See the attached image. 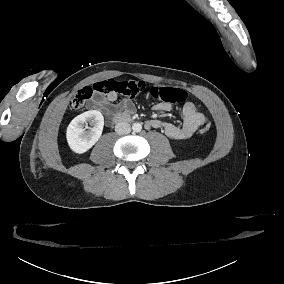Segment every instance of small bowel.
I'll use <instances>...</instances> for the list:
<instances>
[{
    "label": "small bowel",
    "instance_id": "obj_1",
    "mask_svg": "<svg viewBox=\"0 0 284 284\" xmlns=\"http://www.w3.org/2000/svg\"><path fill=\"white\" fill-rule=\"evenodd\" d=\"M117 100L118 94L112 92L105 97L94 99L93 105L95 108L108 111L121 109L124 114H132L135 111V105L131 99L125 98L118 104H115ZM154 110L167 112L172 110V106L168 103L160 102L154 105ZM181 115L183 123L180 126L171 122L153 119L146 122V127L148 129H161L168 138L173 140H187L190 139L198 129L208 123L207 116L200 112L198 107L192 102H187L183 105Z\"/></svg>",
    "mask_w": 284,
    "mask_h": 284
}]
</instances>
